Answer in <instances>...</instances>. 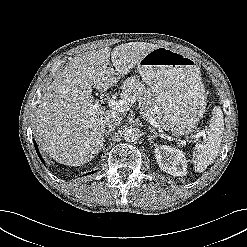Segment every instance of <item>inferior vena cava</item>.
<instances>
[{
  "instance_id": "1",
  "label": "inferior vena cava",
  "mask_w": 247,
  "mask_h": 247,
  "mask_svg": "<svg viewBox=\"0 0 247 247\" xmlns=\"http://www.w3.org/2000/svg\"><path fill=\"white\" fill-rule=\"evenodd\" d=\"M122 121V117L117 112H110L105 116L104 125L108 128H115L119 126Z\"/></svg>"
}]
</instances>
